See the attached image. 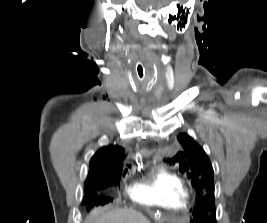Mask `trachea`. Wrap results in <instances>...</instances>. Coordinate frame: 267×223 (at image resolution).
Here are the masks:
<instances>
[{"instance_id": "3493384b", "label": "trachea", "mask_w": 267, "mask_h": 223, "mask_svg": "<svg viewBox=\"0 0 267 223\" xmlns=\"http://www.w3.org/2000/svg\"><path fill=\"white\" fill-rule=\"evenodd\" d=\"M138 76L142 79L143 78V68L141 65H138Z\"/></svg>"}]
</instances>
